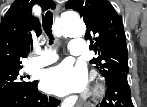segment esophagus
Instances as JSON below:
<instances>
[{"mask_svg":"<svg viewBox=\"0 0 147 107\" xmlns=\"http://www.w3.org/2000/svg\"><path fill=\"white\" fill-rule=\"evenodd\" d=\"M60 12H61V6L60 4H57L55 8V16L58 17Z\"/></svg>","mask_w":147,"mask_h":107,"instance_id":"1","label":"esophagus"}]
</instances>
